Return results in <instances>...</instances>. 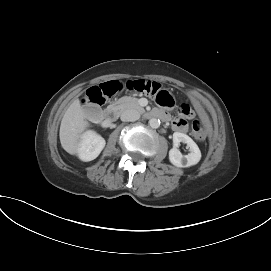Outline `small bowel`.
Returning <instances> with one entry per match:
<instances>
[{"label":"small bowel","instance_id":"c3829d8e","mask_svg":"<svg viewBox=\"0 0 271 271\" xmlns=\"http://www.w3.org/2000/svg\"><path fill=\"white\" fill-rule=\"evenodd\" d=\"M172 127L175 131L185 133L188 130V125L185 119L176 118L172 121Z\"/></svg>","mask_w":271,"mask_h":271}]
</instances>
